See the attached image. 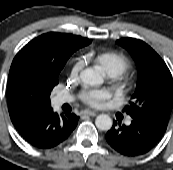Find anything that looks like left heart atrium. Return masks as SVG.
<instances>
[{
    "label": "left heart atrium",
    "instance_id": "39dd6f15",
    "mask_svg": "<svg viewBox=\"0 0 173 170\" xmlns=\"http://www.w3.org/2000/svg\"><path fill=\"white\" fill-rule=\"evenodd\" d=\"M108 96L105 90H96L88 94L87 101L89 104L96 106L99 105Z\"/></svg>",
    "mask_w": 173,
    "mask_h": 170
}]
</instances>
